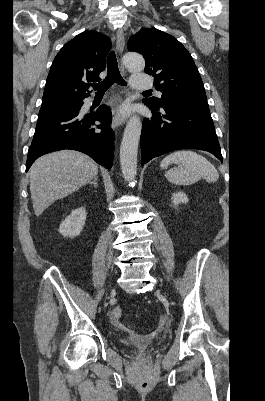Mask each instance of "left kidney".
<instances>
[{"instance_id": "1", "label": "left kidney", "mask_w": 265, "mask_h": 401, "mask_svg": "<svg viewBox=\"0 0 265 401\" xmlns=\"http://www.w3.org/2000/svg\"><path fill=\"white\" fill-rule=\"evenodd\" d=\"M189 198L185 192H173L172 194V203L173 205H180V203H188Z\"/></svg>"}]
</instances>
